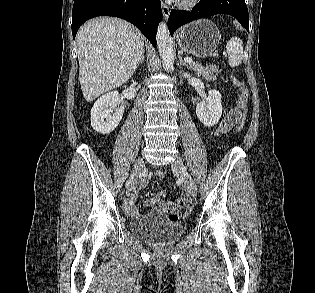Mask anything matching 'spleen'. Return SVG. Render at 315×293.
<instances>
[{
  "label": "spleen",
  "instance_id": "3e777b00",
  "mask_svg": "<svg viewBox=\"0 0 315 293\" xmlns=\"http://www.w3.org/2000/svg\"><path fill=\"white\" fill-rule=\"evenodd\" d=\"M228 63L231 67H237L243 59V43L239 37H232L227 45Z\"/></svg>",
  "mask_w": 315,
  "mask_h": 293
}]
</instances>
